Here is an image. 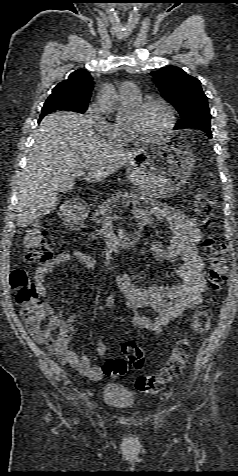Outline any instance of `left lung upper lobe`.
Instances as JSON below:
<instances>
[{"label":"left lung upper lobe","mask_w":238,"mask_h":476,"mask_svg":"<svg viewBox=\"0 0 238 476\" xmlns=\"http://www.w3.org/2000/svg\"><path fill=\"white\" fill-rule=\"evenodd\" d=\"M153 81L163 98L171 103L181 119L174 129H210L211 114L201 82L176 66L151 72Z\"/></svg>","instance_id":"1"}]
</instances>
